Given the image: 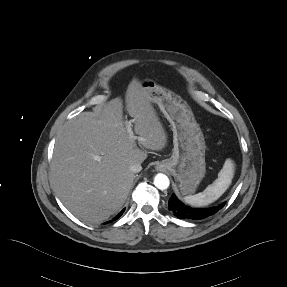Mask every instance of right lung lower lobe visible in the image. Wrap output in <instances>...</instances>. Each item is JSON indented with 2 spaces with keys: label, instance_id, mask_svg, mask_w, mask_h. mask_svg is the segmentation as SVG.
Masks as SVG:
<instances>
[{
  "label": "right lung lower lobe",
  "instance_id": "right-lung-lower-lobe-1",
  "mask_svg": "<svg viewBox=\"0 0 287 287\" xmlns=\"http://www.w3.org/2000/svg\"><path fill=\"white\" fill-rule=\"evenodd\" d=\"M123 212H124V209L117 216H115L112 220H110L107 223H110V222H113V221L117 220L123 214Z\"/></svg>",
  "mask_w": 287,
  "mask_h": 287
}]
</instances>
